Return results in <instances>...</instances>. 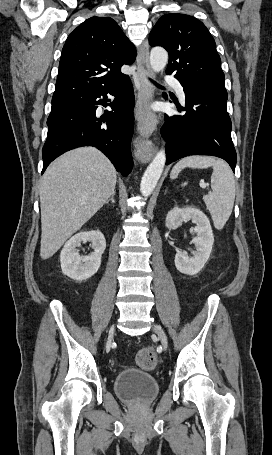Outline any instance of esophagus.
<instances>
[{
    "instance_id": "1",
    "label": "esophagus",
    "mask_w": 272,
    "mask_h": 455,
    "mask_svg": "<svg viewBox=\"0 0 272 455\" xmlns=\"http://www.w3.org/2000/svg\"><path fill=\"white\" fill-rule=\"evenodd\" d=\"M152 77L153 72L149 65V45L148 41L145 40L140 47L138 56V81L140 91L136 105V120L138 132L140 134L136 157L142 163L148 162L156 151V147L150 140V136L156 129L158 120L155 112L148 109V105L152 102L154 95V89L149 82V78Z\"/></svg>"
}]
</instances>
